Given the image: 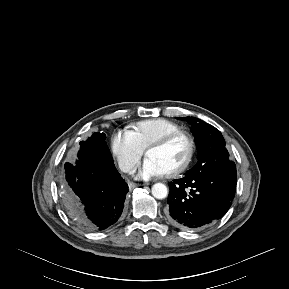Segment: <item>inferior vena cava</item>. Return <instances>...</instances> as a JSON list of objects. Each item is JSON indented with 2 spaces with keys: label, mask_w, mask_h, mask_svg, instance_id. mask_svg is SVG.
I'll use <instances>...</instances> for the list:
<instances>
[{
  "label": "inferior vena cava",
  "mask_w": 289,
  "mask_h": 289,
  "mask_svg": "<svg viewBox=\"0 0 289 289\" xmlns=\"http://www.w3.org/2000/svg\"><path fill=\"white\" fill-rule=\"evenodd\" d=\"M132 170H133V167H132V166H128V167L125 169V172L131 173Z\"/></svg>",
  "instance_id": "inferior-vena-cava-1"
}]
</instances>
